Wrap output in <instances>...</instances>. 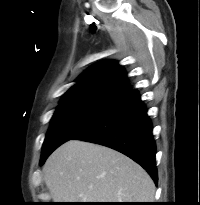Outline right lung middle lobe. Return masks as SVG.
Returning <instances> with one entry per match:
<instances>
[{
	"label": "right lung middle lobe",
	"mask_w": 200,
	"mask_h": 205,
	"mask_svg": "<svg viewBox=\"0 0 200 205\" xmlns=\"http://www.w3.org/2000/svg\"><path fill=\"white\" fill-rule=\"evenodd\" d=\"M114 102L100 99H76L61 102L52 117L51 126L43 143L40 163L58 146L105 113Z\"/></svg>",
	"instance_id": "dd1d6c3e"
}]
</instances>
